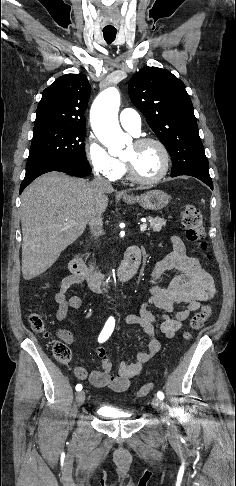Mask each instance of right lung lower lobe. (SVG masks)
<instances>
[{
	"label": "right lung lower lobe",
	"mask_w": 236,
	"mask_h": 486,
	"mask_svg": "<svg viewBox=\"0 0 236 486\" xmlns=\"http://www.w3.org/2000/svg\"><path fill=\"white\" fill-rule=\"evenodd\" d=\"M60 171L76 177H85L91 173L88 162L75 160H59L54 158H38L28 160L25 178L20 186V193L38 176L50 172Z\"/></svg>",
	"instance_id": "1"
}]
</instances>
